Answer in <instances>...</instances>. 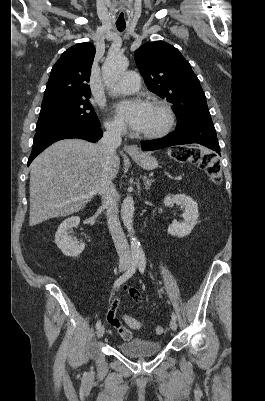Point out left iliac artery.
I'll return each mask as SVG.
<instances>
[{
    "instance_id": "obj_1",
    "label": "left iliac artery",
    "mask_w": 265,
    "mask_h": 401,
    "mask_svg": "<svg viewBox=\"0 0 265 401\" xmlns=\"http://www.w3.org/2000/svg\"><path fill=\"white\" fill-rule=\"evenodd\" d=\"M145 268H146V257H145L144 255H140V256H139V271H140L141 273H144ZM171 317H172V319H174V320L177 319V316H176V314H175L174 312H172Z\"/></svg>"
}]
</instances>
